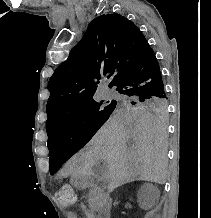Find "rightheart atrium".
<instances>
[{
  "label": "right heart atrium",
  "mask_w": 211,
  "mask_h": 218,
  "mask_svg": "<svg viewBox=\"0 0 211 218\" xmlns=\"http://www.w3.org/2000/svg\"><path fill=\"white\" fill-rule=\"evenodd\" d=\"M84 127H85V128L88 127V124L86 123V124L84 125Z\"/></svg>",
  "instance_id": "obj_1"
}]
</instances>
